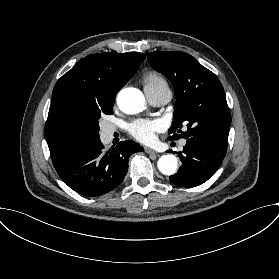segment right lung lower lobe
<instances>
[{
  "mask_svg": "<svg viewBox=\"0 0 279 279\" xmlns=\"http://www.w3.org/2000/svg\"><path fill=\"white\" fill-rule=\"evenodd\" d=\"M100 140L55 168L60 178L73 190L86 197L107 193L121 184L129 156L143 148L131 140L120 142L112 151L103 152Z\"/></svg>",
  "mask_w": 279,
  "mask_h": 279,
  "instance_id": "1",
  "label": "right lung lower lobe"
}]
</instances>
